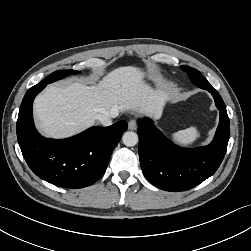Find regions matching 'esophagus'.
Listing matches in <instances>:
<instances>
[{"mask_svg": "<svg viewBox=\"0 0 251 251\" xmlns=\"http://www.w3.org/2000/svg\"><path fill=\"white\" fill-rule=\"evenodd\" d=\"M136 128H137V121H136V119H131L128 122V129L129 130H136Z\"/></svg>", "mask_w": 251, "mask_h": 251, "instance_id": "34e87169", "label": "esophagus"}]
</instances>
